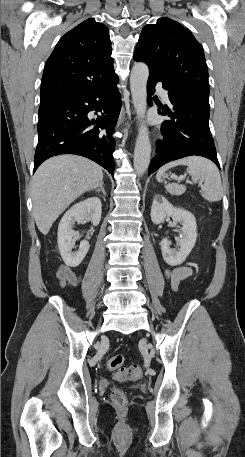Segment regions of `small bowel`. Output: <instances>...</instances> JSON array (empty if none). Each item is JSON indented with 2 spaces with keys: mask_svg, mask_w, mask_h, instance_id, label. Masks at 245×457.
<instances>
[{
  "mask_svg": "<svg viewBox=\"0 0 245 457\" xmlns=\"http://www.w3.org/2000/svg\"><path fill=\"white\" fill-rule=\"evenodd\" d=\"M192 268L188 266H179L167 269L165 272V276L170 283L173 290H177L179 287V283L190 277L192 275ZM56 279L58 284L61 287H65L67 285L76 286L80 283V276L74 273L71 268L65 265H61L58 267L56 271Z\"/></svg>",
  "mask_w": 245,
  "mask_h": 457,
  "instance_id": "c3829d8e",
  "label": "small bowel"
}]
</instances>
